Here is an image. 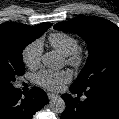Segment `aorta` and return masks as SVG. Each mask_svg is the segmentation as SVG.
<instances>
[{
	"instance_id": "aorta-1",
	"label": "aorta",
	"mask_w": 119,
	"mask_h": 119,
	"mask_svg": "<svg viewBox=\"0 0 119 119\" xmlns=\"http://www.w3.org/2000/svg\"><path fill=\"white\" fill-rule=\"evenodd\" d=\"M42 62L45 67L51 68V69H59L62 67V61L60 57L55 52H47L42 57ZM66 108L65 101L59 97L56 96L50 101V109L54 113H62Z\"/></svg>"
}]
</instances>
